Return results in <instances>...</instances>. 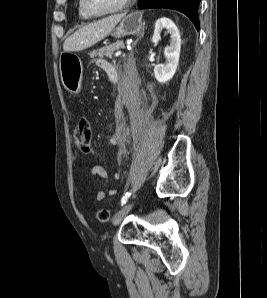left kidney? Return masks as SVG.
Masks as SVG:
<instances>
[{
    "label": "left kidney",
    "mask_w": 267,
    "mask_h": 298,
    "mask_svg": "<svg viewBox=\"0 0 267 298\" xmlns=\"http://www.w3.org/2000/svg\"><path fill=\"white\" fill-rule=\"evenodd\" d=\"M166 30L170 34V45L165 47V64L156 65L154 68L155 78L160 83L171 80L177 70L181 50V37L177 26L169 18L163 17L156 21L152 42L157 44L160 41V34Z\"/></svg>",
    "instance_id": "5707ae66"
}]
</instances>
